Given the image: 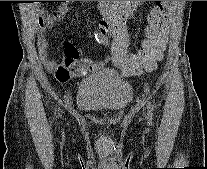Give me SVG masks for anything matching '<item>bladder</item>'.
<instances>
[{
  "instance_id": "31cf9c89",
  "label": "bladder",
  "mask_w": 207,
  "mask_h": 169,
  "mask_svg": "<svg viewBox=\"0 0 207 169\" xmlns=\"http://www.w3.org/2000/svg\"><path fill=\"white\" fill-rule=\"evenodd\" d=\"M132 97L131 86L118 73L104 70L79 83L76 104L83 112L118 114L127 108Z\"/></svg>"
}]
</instances>
